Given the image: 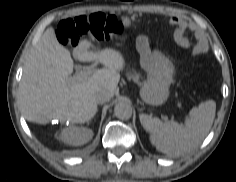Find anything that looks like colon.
I'll return each mask as SVG.
<instances>
[{"label":"colon","mask_w":236,"mask_h":182,"mask_svg":"<svg viewBox=\"0 0 236 182\" xmlns=\"http://www.w3.org/2000/svg\"><path fill=\"white\" fill-rule=\"evenodd\" d=\"M121 31L122 25L115 17L94 13L61 21L57 29V38L63 45L75 46L84 35L109 39L113 34Z\"/></svg>","instance_id":"obj_1"}]
</instances>
